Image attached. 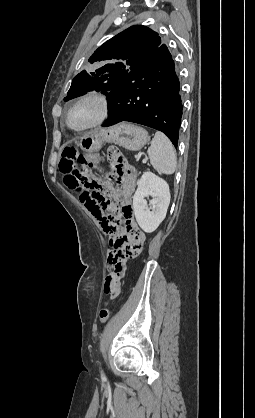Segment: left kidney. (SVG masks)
Segmentation results:
<instances>
[{
	"mask_svg": "<svg viewBox=\"0 0 255 418\" xmlns=\"http://www.w3.org/2000/svg\"><path fill=\"white\" fill-rule=\"evenodd\" d=\"M152 196L150 207L146 197ZM170 203L169 185L152 172H144L138 181L133 196V210L141 229L146 233L155 231L164 220Z\"/></svg>",
	"mask_w": 255,
	"mask_h": 418,
	"instance_id": "left-kidney-1",
	"label": "left kidney"
}]
</instances>
